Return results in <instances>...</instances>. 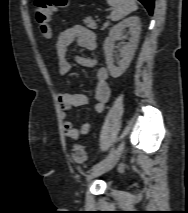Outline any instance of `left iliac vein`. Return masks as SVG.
I'll use <instances>...</instances> for the list:
<instances>
[{
    "mask_svg": "<svg viewBox=\"0 0 188 213\" xmlns=\"http://www.w3.org/2000/svg\"><path fill=\"white\" fill-rule=\"evenodd\" d=\"M125 143L121 142L117 149L114 151L113 156L105 162L102 166L99 168L93 170L87 177V183H90L92 179L110 171L119 161L123 151H124Z\"/></svg>",
    "mask_w": 188,
    "mask_h": 213,
    "instance_id": "1",
    "label": "left iliac vein"
}]
</instances>
